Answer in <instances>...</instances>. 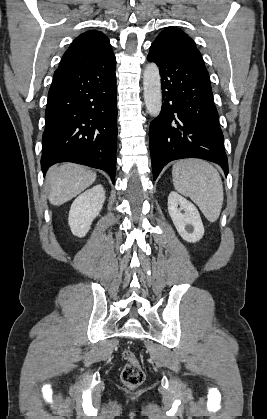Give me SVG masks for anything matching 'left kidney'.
Returning <instances> with one entry per match:
<instances>
[{"label":"left kidney","instance_id":"1","mask_svg":"<svg viewBox=\"0 0 267 419\" xmlns=\"http://www.w3.org/2000/svg\"><path fill=\"white\" fill-rule=\"evenodd\" d=\"M168 212L180 236L195 243L204 235V227L196 206L172 191L168 196Z\"/></svg>","mask_w":267,"mask_h":419}]
</instances>
